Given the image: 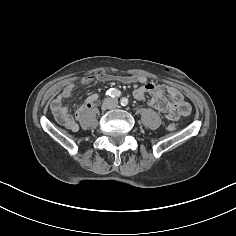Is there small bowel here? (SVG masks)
I'll return each mask as SVG.
<instances>
[{"instance_id":"1","label":"small bowel","mask_w":236,"mask_h":236,"mask_svg":"<svg viewBox=\"0 0 236 236\" xmlns=\"http://www.w3.org/2000/svg\"><path fill=\"white\" fill-rule=\"evenodd\" d=\"M95 80H118L123 83L140 84L133 92L134 98L138 101H143L149 96V105L164 114L167 119L176 120L179 117L189 115L191 112L189 103L183 99V96L178 89L169 85H157L148 82L147 78L142 75L114 76L101 73L97 77H86L82 79L81 84L89 85ZM74 90V83L67 84L54 98L50 107L55 122L68 130H76L78 127L77 121L81 118L83 112L99 100L98 94H91L87 97L84 104L76 110L75 114L72 115L63 103L72 96Z\"/></svg>"}]
</instances>
